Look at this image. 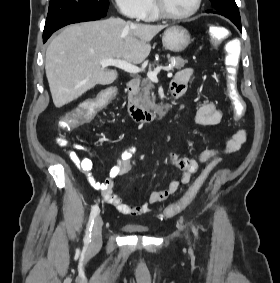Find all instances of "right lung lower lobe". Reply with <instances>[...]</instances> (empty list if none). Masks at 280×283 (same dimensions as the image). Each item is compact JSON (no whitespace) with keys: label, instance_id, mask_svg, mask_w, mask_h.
<instances>
[{"label":"right lung lower lobe","instance_id":"obj_1","mask_svg":"<svg viewBox=\"0 0 280 283\" xmlns=\"http://www.w3.org/2000/svg\"><path fill=\"white\" fill-rule=\"evenodd\" d=\"M100 18L102 17H99V18L61 17V18H57L49 22H46L44 32H43V42H46L47 39L52 35V33H54L56 30H58L61 27H64L72 23L98 20Z\"/></svg>","mask_w":280,"mask_h":283}]
</instances>
